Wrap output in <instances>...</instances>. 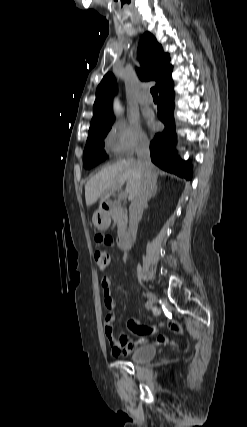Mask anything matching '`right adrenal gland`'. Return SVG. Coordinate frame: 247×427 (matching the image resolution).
Here are the masks:
<instances>
[{
    "label": "right adrenal gland",
    "mask_w": 247,
    "mask_h": 427,
    "mask_svg": "<svg viewBox=\"0 0 247 427\" xmlns=\"http://www.w3.org/2000/svg\"><path fill=\"white\" fill-rule=\"evenodd\" d=\"M157 190H158V188H157V186H156V189H155V192H154V196H155V194L157 193Z\"/></svg>",
    "instance_id": "right-adrenal-gland-1"
}]
</instances>
